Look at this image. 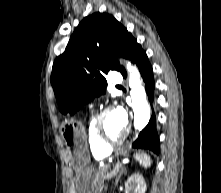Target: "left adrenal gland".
Listing matches in <instances>:
<instances>
[{"instance_id": "obj_1", "label": "left adrenal gland", "mask_w": 221, "mask_h": 193, "mask_svg": "<svg viewBox=\"0 0 221 193\" xmlns=\"http://www.w3.org/2000/svg\"><path fill=\"white\" fill-rule=\"evenodd\" d=\"M126 172H127L126 167H121L120 170H118V174H117L116 180H115V185L118 184V182H119L121 176L123 175V173H126Z\"/></svg>"}]
</instances>
